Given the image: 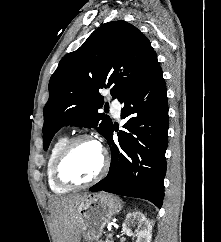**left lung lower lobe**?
<instances>
[{
  "mask_svg": "<svg viewBox=\"0 0 221 242\" xmlns=\"http://www.w3.org/2000/svg\"><path fill=\"white\" fill-rule=\"evenodd\" d=\"M121 103L122 118L129 117L126 130L114 142L112 127L106 137L112 155L109 173L89 190L147 199L160 208L168 144L167 90L160 65Z\"/></svg>",
  "mask_w": 221,
  "mask_h": 242,
  "instance_id": "1",
  "label": "left lung lower lobe"
}]
</instances>
